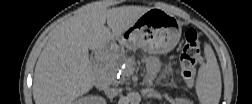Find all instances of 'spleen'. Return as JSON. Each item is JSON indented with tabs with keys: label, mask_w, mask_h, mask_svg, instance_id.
Segmentation results:
<instances>
[{
	"label": "spleen",
	"mask_w": 252,
	"mask_h": 104,
	"mask_svg": "<svg viewBox=\"0 0 252 104\" xmlns=\"http://www.w3.org/2000/svg\"><path fill=\"white\" fill-rule=\"evenodd\" d=\"M206 63L198 70L196 79V94L202 104H218L221 97V74L211 46L205 44Z\"/></svg>",
	"instance_id": "obj_1"
}]
</instances>
